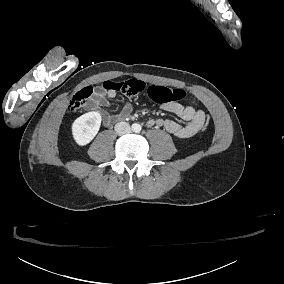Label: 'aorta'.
Masks as SVG:
<instances>
[{
	"label": "aorta",
	"mask_w": 284,
	"mask_h": 284,
	"mask_svg": "<svg viewBox=\"0 0 284 284\" xmlns=\"http://www.w3.org/2000/svg\"><path fill=\"white\" fill-rule=\"evenodd\" d=\"M132 130H133L134 132H136V133L140 132V131H141V125L138 124V123H134V124L132 125Z\"/></svg>",
	"instance_id": "762f6f07"
}]
</instances>
